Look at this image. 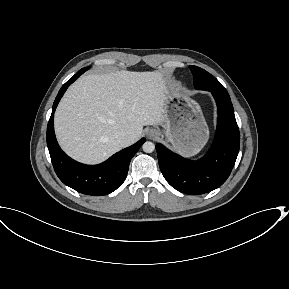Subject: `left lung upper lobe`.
<instances>
[{
	"label": "left lung upper lobe",
	"instance_id": "obj_1",
	"mask_svg": "<svg viewBox=\"0 0 289 289\" xmlns=\"http://www.w3.org/2000/svg\"><path fill=\"white\" fill-rule=\"evenodd\" d=\"M194 77V86L199 90H207L210 92L228 93L220 82L204 69L197 66H189Z\"/></svg>",
	"mask_w": 289,
	"mask_h": 289
}]
</instances>
